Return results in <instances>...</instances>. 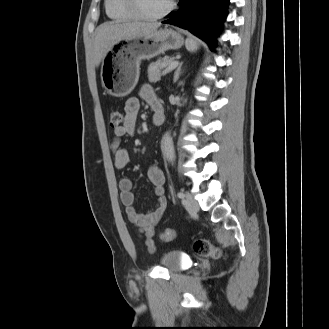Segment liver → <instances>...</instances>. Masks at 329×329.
Masks as SVG:
<instances>
[{
    "label": "liver",
    "mask_w": 329,
    "mask_h": 329,
    "mask_svg": "<svg viewBox=\"0 0 329 329\" xmlns=\"http://www.w3.org/2000/svg\"><path fill=\"white\" fill-rule=\"evenodd\" d=\"M159 27V23L142 22H105L101 24L95 31L94 39V63L96 67L99 66L115 41L147 35Z\"/></svg>",
    "instance_id": "6515ba94"
}]
</instances>
